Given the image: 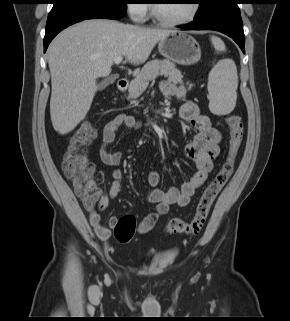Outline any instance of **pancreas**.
Listing matches in <instances>:
<instances>
[{
	"mask_svg": "<svg viewBox=\"0 0 290 321\" xmlns=\"http://www.w3.org/2000/svg\"><path fill=\"white\" fill-rule=\"evenodd\" d=\"M159 75L168 78L174 83L183 84V76L176 68V65L169 60H152L148 62L136 75L129 85V98H138L148 87L149 81L154 80ZM189 89L192 85L187 83Z\"/></svg>",
	"mask_w": 290,
	"mask_h": 321,
	"instance_id": "1",
	"label": "pancreas"
}]
</instances>
